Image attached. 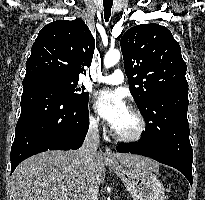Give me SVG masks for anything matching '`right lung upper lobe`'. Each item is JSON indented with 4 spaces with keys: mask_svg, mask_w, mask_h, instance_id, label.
Segmentation results:
<instances>
[{
    "mask_svg": "<svg viewBox=\"0 0 205 200\" xmlns=\"http://www.w3.org/2000/svg\"><path fill=\"white\" fill-rule=\"evenodd\" d=\"M94 48L95 40L81 18L49 23L31 48L24 80L44 74L79 80V74L91 64Z\"/></svg>",
    "mask_w": 205,
    "mask_h": 200,
    "instance_id": "obj_1",
    "label": "right lung upper lobe"
}]
</instances>
